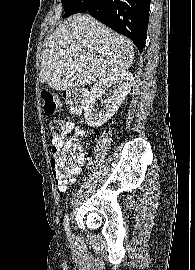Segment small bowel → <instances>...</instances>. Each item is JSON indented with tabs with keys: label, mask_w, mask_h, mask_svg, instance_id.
I'll list each match as a JSON object with an SVG mask.
<instances>
[{
	"label": "small bowel",
	"mask_w": 195,
	"mask_h": 270,
	"mask_svg": "<svg viewBox=\"0 0 195 270\" xmlns=\"http://www.w3.org/2000/svg\"><path fill=\"white\" fill-rule=\"evenodd\" d=\"M70 133H74L76 136L80 138L85 136V132L81 128L77 127L73 122L68 121L67 126H66V135ZM63 142H64V138L54 137L52 139L53 151L55 150V148L61 146Z\"/></svg>",
	"instance_id": "c3829d8e"
}]
</instances>
